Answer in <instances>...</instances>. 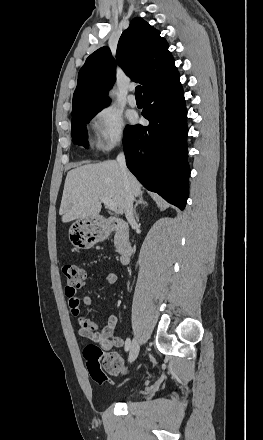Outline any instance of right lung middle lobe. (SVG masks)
Returning a JSON list of instances; mask_svg holds the SVG:
<instances>
[{"instance_id": "dd1d6c3e", "label": "right lung middle lobe", "mask_w": 263, "mask_h": 440, "mask_svg": "<svg viewBox=\"0 0 263 440\" xmlns=\"http://www.w3.org/2000/svg\"><path fill=\"white\" fill-rule=\"evenodd\" d=\"M99 111L100 110L83 113L72 118L71 132L73 143L88 148L86 124L89 123Z\"/></svg>"}]
</instances>
